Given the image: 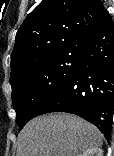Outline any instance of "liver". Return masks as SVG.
<instances>
[{"label": "liver", "instance_id": "6515ba94", "mask_svg": "<svg viewBox=\"0 0 114 156\" xmlns=\"http://www.w3.org/2000/svg\"><path fill=\"white\" fill-rule=\"evenodd\" d=\"M103 135L75 115L55 113L29 121L18 136L17 156H81L100 148Z\"/></svg>", "mask_w": 114, "mask_h": 156}]
</instances>
